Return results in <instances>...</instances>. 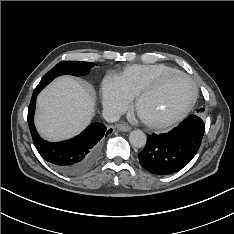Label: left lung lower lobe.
Returning <instances> with one entry per match:
<instances>
[{"label": "left lung lower lobe", "mask_w": 234, "mask_h": 234, "mask_svg": "<svg viewBox=\"0 0 234 234\" xmlns=\"http://www.w3.org/2000/svg\"><path fill=\"white\" fill-rule=\"evenodd\" d=\"M204 132L202 118L192 114L168 133L148 135L145 148L138 154L139 162L153 174L175 173L195 156Z\"/></svg>", "instance_id": "left-lung-lower-lobe-1"}]
</instances>
